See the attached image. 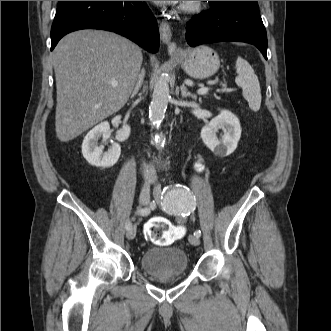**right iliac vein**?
I'll list each match as a JSON object with an SVG mask.
<instances>
[{"mask_svg":"<svg viewBox=\"0 0 331 331\" xmlns=\"http://www.w3.org/2000/svg\"><path fill=\"white\" fill-rule=\"evenodd\" d=\"M150 199V182L146 181L141 189L139 201L142 205H147ZM129 240H132L136 236V226H131L126 234Z\"/></svg>","mask_w":331,"mask_h":331,"instance_id":"obj_1","label":"right iliac vein"}]
</instances>
